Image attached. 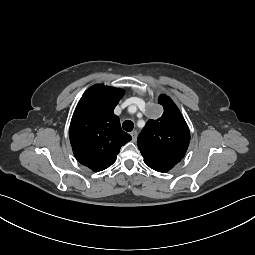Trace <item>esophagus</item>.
I'll list each match as a JSON object with an SVG mask.
<instances>
[{"label":"esophagus","mask_w":255,"mask_h":255,"mask_svg":"<svg viewBox=\"0 0 255 255\" xmlns=\"http://www.w3.org/2000/svg\"><path fill=\"white\" fill-rule=\"evenodd\" d=\"M130 135L132 136V141L135 142L137 140V131H132L130 133Z\"/></svg>","instance_id":"obj_1"}]
</instances>
